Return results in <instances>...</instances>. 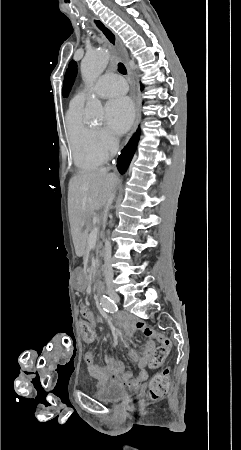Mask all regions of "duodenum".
Wrapping results in <instances>:
<instances>
[{"label": "duodenum", "instance_id": "duodenum-1", "mask_svg": "<svg viewBox=\"0 0 241 450\" xmlns=\"http://www.w3.org/2000/svg\"><path fill=\"white\" fill-rule=\"evenodd\" d=\"M92 288L94 291L100 292L103 288V284L99 279L94 278L92 281Z\"/></svg>", "mask_w": 241, "mask_h": 450}]
</instances>
